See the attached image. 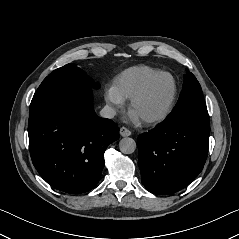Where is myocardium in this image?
<instances>
[{"mask_svg": "<svg viewBox=\"0 0 239 239\" xmlns=\"http://www.w3.org/2000/svg\"><path fill=\"white\" fill-rule=\"evenodd\" d=\"M168 77L171 82H172V94L171 97L169 99V101L167 102L166 106L159 111L158 113L145 117L143 118V122L145 123H155V122H159L161 120H163L172 110L173 105L175 103L176 100V96H177V83L176 80L174 79V77L168 73V72H164V71H160L158 73H156L155 75H153L150 79H148L142 86L140 89H138L129 99V108L132 109V107L134 106V104L141 99L146 92L149 90V88L151 87V85L160 77Z\"/></svg>", "mask_w": 239, "mask_h": 239, "instance_id": "1", "label": "myocardium"}]
</instances>
